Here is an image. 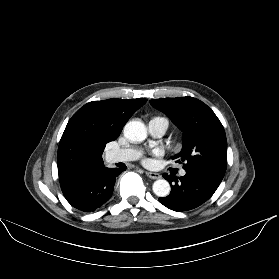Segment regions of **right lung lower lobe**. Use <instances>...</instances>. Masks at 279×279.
I'll list each match as a JSON object with an SVG mask.
<instances>
[{
	"label": "right lung lower lobe",
	"instance_id": "98d812e1",
	"mask_svg": "<svg viewBox=\"0 0 279 279\" xmlns=\"http://www.w3.org/2000/svg\"><path fill=\"white\" fill-rule=\"evenodd\" d=\"M122 171L104 167L61 183V189L74 208L83 212L95 211L111 198L115 179Z\"/></svg>",
	"mask_w": 279,
	"mask_h": 279
}]
</instances>
